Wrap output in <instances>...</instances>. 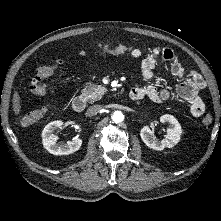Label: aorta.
Wrapping results in <instances>:
<instances>
[{
	"label": "aorta",
	"mask_w": 221,
	"mask_h": 221,
	"mask_svg": "<svg viewBox=\"0 0 221 221\" xmlns=\"http://www.w3.org/2000/svg\"><path fill=\"white\" fill-rule=\"evenodd\" d=\"M112 120L115 122V123H120L124 120V115L121 111H115L113 114H112Z\"/></svg>",
	"instance_id": "1"
}]
</instances>
